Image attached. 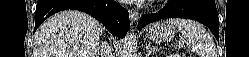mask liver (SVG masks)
I'll list each match as a JSON object with an SVG mask.
<instances>
[{"mask_svg": "<svg viewBox=\"0 0 249 57\" xmlns=\"http://www.w3.org/2000/svg\"><path fill=\"white\" fill-rule=\"evenodd\" d=\"M102 33V24L86 13H57L36 31L34 57H98Z\"/></svg>", "mask_w": 249, "mask_h": 57, "instance_id": "6515ba94", "label": "liver"}]
</instances>
